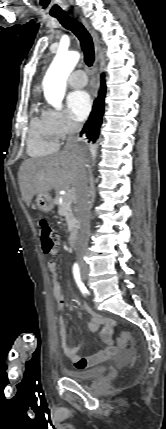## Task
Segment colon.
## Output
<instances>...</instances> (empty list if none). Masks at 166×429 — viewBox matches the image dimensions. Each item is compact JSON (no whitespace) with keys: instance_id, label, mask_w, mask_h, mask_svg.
I'll return each mask as SVG.
<instances>
[{"instance_id":"colon-1","label":"colon","mask_w":166,"mask_h":429,"mask_svg":"<svg viewBox=\"0 0 166 429\" xmlns=\"http://www.w3.org/2000/svg\"><path fill=\"white\" fill-rule=\"evenodd\" d=\"M39 233L42 242V249L45 253L50 252L53 248H56L60 244L59 234L53 230L51 225L45 219H41L38 223ZM133 340L132 335L128 331H124L120 334L117 339L119 347H126Z\"/></svg>"}]
</instances>
